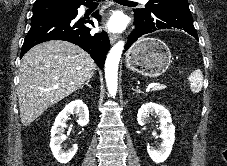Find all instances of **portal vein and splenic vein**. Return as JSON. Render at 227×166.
Here are the masks:
<instances>
[{
	"instance_id": "obj_1",
	"label": "portal vein and splenic vein",
	"mask_w": 227,
	"mask_h": 166,
	"mask_svg": "<svg viewBox=\"0 0 227 166\" xmlns=\"http://www.w3.org/2000/svg\"><path fill=\"white\" fill-rule=\"evenodd\" d=\"M157 85H159L158 83H150L149 85H148V88H153V87H155V86H157Z\"/></svg>"
}]
</instances>
